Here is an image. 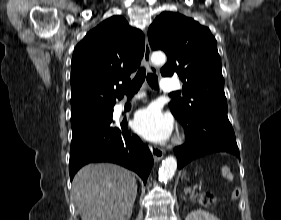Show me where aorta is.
Instances as JSON below:
<instances>
[{
  "label": "aorta",
  "instance_id": "obj_1",
  "mask_svg": "<svg viewBox=\"0 0 281 220\" xmlns=\"http://www.w3.org/2000/svg\"><path fill=\"white\" fill-rule=\"evenodd\" d=\"M151 62L156 66H162L166 62V56L163 52H154L151 55ZM177 169V161L173 156H168L162 161V166L159 169V180L167 182L171 179Z\"/></svg>",
  "mask_w": 281,
  "mask_h": 220
}]
</instances>
